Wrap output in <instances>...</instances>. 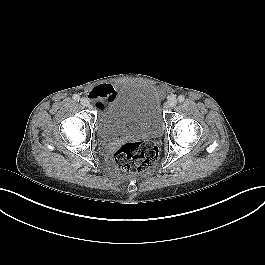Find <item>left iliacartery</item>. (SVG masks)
<instances>
[{"mask_svg":"<svg viewBox=\"0 0 265 265\" xmlns=\"http://www.w3.org/2000/svg\"><path fill=\"white\" fill-rule=\"evenodd\" d=\"M185 100V97L183 95L178 96V101L181 103Z\"/></svg>","mask_w":265,"mask_h":265,"instance_id":"1","label":"left iliac artery"}]
</instances>
